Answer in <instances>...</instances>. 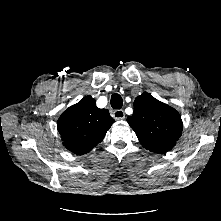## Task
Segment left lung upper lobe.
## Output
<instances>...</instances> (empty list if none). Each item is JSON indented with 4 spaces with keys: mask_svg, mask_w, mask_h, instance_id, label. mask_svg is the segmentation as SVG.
<instances>
[{
    "mask_svg": "<svg viewBox=\"0 0 221 221\" xmlns=\"http://www.w3.org/2000/svg\"><path fill=\"white\" fill-rule=\"evenodd\" d=\"M127 122L142 146L158 154L175 146L183 128L179 113L149 93L136 97L133 115L127 118Z\"/></svg>",
    "mask_w": 221,
    "mask_h": 221,
    "instance_id": "1",
    "label": "left lung upper lobe"
}]
</instances>
